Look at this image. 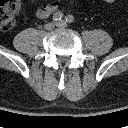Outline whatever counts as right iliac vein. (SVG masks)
Segmentation results:
<instances>
[{"instance_id": "1", "label": "right iliac vein", "mask_w": 128, "mask_h": 128, "mask_svg": "<svg viewBox=\"0 0 128 128\" xmlns=\"http://www.w3.org/2000/svg\"><path fill=\"white\" fill-rule=\"evenodd\" d=\"M55 26H56L55 23L50 22V23H47V24L44 26V28H45V30H47V31H51V30H53V29L55 28Z\"/></svg>"}]
</instances>
